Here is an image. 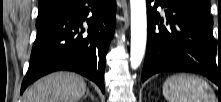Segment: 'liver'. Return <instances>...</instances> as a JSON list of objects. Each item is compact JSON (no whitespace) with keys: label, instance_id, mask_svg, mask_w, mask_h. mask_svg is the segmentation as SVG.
<instances>
[{"label":"liver","instance_id":"obj_1","mask_svg":"<svg viewBox=\"0 0 221 102\" xmlns=\"http://www.w3.org/2000/svg\"><path fill=\"white\" fill-rule=\"evenodd\" d=\"M86 83L78 74L55 72L36 81L23 95V102H78Z\"/></svg>","mask_w":221,"mask_h":102}]
</instances>
